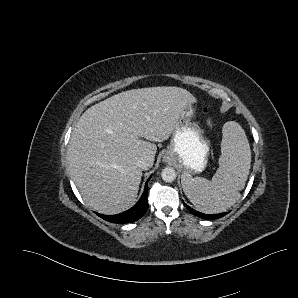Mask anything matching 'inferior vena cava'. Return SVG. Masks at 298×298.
I'll return each mask as SVG.
<instances>
[{"instance_id":"obj_1","label":"inferior vena cava","mask_w":298,"mask_h":298,"mask_svg":"<svg viewBox=\"0 0 298 298\" xmlns=\"http://www.w3.org/2000/svg\"><path fill=\"white\" fill-rule=\"evenodd\" d=\"M136 165L143 170H148L150 167H152V165L145 158L138 159Z\"/></svg>"}]
</instances>
